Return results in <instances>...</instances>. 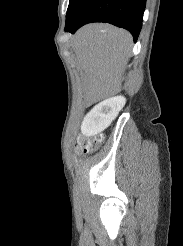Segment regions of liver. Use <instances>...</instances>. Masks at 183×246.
Instances as JSON below:
<instances>
[{
	"instance_id": "6515ba94",
	"label": "liver",
	"mask_w": 183,
	"mask_h": 246,
	"mask_svg": "<svg viewBox=\"0 0 183 246\" xmlns=\"http://www.w3.org/2000/svg\"><path fill=\"white\" fill-rule=\"evenodd\" d=\"M131 46L128 31L104 23L85 25L73 35L72 49L89 102L121 90Z\"/></svg>"
}]
</instances>
